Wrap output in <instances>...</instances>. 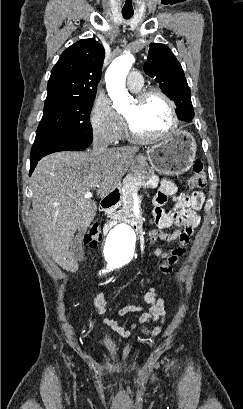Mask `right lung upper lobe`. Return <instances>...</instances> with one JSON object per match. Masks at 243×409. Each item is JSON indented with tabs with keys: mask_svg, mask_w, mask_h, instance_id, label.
Wrapping results in <instances>:
<instances>
[{
	"mask_svg": "<svg viewBox=\"0 0 243 409\" xmlns=\"http://www.w3.org/2000/svg\"><path fill=\"white\" fill-rule=\"evenodd\" d=\"M104 55L94 39H82L67 48L51 71L46 101L95 98Z\"/></svg>",
	"mask_w": 243,
	"mask_h": 409,
	"instance_id": "obj_1",
	"label": "right lung upper lobe"
}]
</instances>
